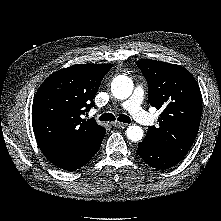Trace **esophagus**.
Masks as SVG:
<instances>
[{
  "instance_id": "34e87169",
  "label": "esophagus",
  "mask_w": 221,
  "mask_h": 221,
  "mask_svg": "<svg viewBox=\"0 0 221 221\" xmlns=\"http://www.w3.org/2000/svg\"><path fill=\"white\" fill-rule=\"evenodd\" d=\"M112 125H113L114 127H117V128H124V127H126L128 124H125V123H122V122H118V121H114V122L112 123Z\"/></svg>"
}]
</instances>
